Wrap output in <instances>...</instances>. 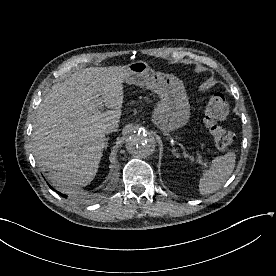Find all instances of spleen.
<instances>
[{
	"instance_id": "3e777b00",
	"label": "spleen",
	"mask_w": 276,
	"mask_h": 276,
	"mask_svg": "<svg viewBox=\"0 0 276 276\" xmlns=\"http://www.w3.org/2000/svg\"><path fill=\"white\" fill-rule=\"evenodd\" d=\"M235 159L234 152H228L224 156L214 158L210 168L200 178V194H212L221 188L235 168Z\"/></svg>"
}]
</instances>
